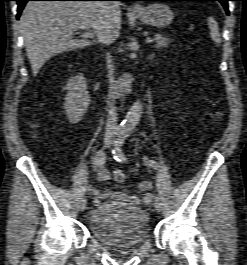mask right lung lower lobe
Listing matches in <instances>:
<instances>
[{"instance_id":"98d812e1","label":"right lung lower lobe","mask_w":247,"mask_h":265,"mask_svg":"<svg viewBox=\"0 0 247 265\" xmlns=\"http://www.w3.org/2000/svg\"><path fill=\"white\" fill-rule=\"evenodd\" d=\"M18 3L17 19H19L22 9L28 1H127V0H15Z\"/></svg>"}]
</instances>
